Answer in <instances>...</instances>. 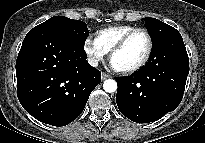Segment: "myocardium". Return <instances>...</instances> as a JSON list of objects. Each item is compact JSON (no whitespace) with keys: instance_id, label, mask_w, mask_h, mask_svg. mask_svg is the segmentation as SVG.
<instances>
[{"instance_id":"1","label":"myocardium","mask_w":205,"mask_h":143,"mask_svg":"<svg viewBox=\"0 0 205 143\" xmlns=\"http://www.w3.org/2000/svg\"><path fill=\"white\" fill-rule=\"evenodd\" d=\"M137 32H142L145 34V36L147 38V43H148L147 50H146L144 57L142 58V60L138 64H136L130 68L121 70L123 73H126V74H131V73H135V72L139 71L149 61L151 54H152V50H153V40H152V37H151V34L149 33V31L145 28H142V27H138V28H134V29L130 30L114 45V47L110 51V59L112 60L113 56L117 52L122 50L125 47V45L127 44V42L129 41V39Z\"/></svg>"}]
</instances>
